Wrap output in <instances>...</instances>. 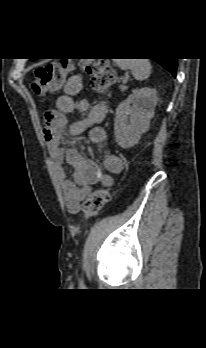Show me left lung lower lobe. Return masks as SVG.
<instances>
[{
  "instance_id": "0a47b994",
  "label": "left lung lower lobe",
  "mask_w": 206,
  "mask_h": 348,
  "mask_svg": "<svg viewBox=\"0 0 206 348\" xmlns=\"http://www.w3.org/2000/svg\"><path fill=\"white\" fill-rule=\"evenodd\" d=\"M153 60L163 66L170 73H172L174 77L176 76L177 58H160Z\"/></svg>"
}]
</instances>
